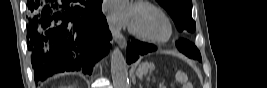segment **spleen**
<instances>
[{
	"label": "spleen",
	"mask_w": 267,
	"mask_h": 88,
	"mask_svg": "<svg viewBox=\"0 0 267 88\" xmlns=\"http://www.w3.org/2000/svg\"><path fill=\"white\" fill-rule=\"evenodd\" d=\"M143 69H144V65L142 64V65L139 66V68L137 70V76L139 78H142ZM176 80L178 82H180V83H184L185 84L187 82V77H186V75L183 72L177 71V73H176Z\"/></svg>",
	"instance_id": "obj_1"
}]
</instances>
